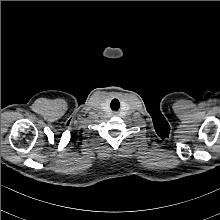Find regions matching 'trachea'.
<instances>
[{"mask_svg": "<svg viewBox=\"0 0 220 220\" xmlns=\"http://www.w3.org/2000/svg\"><path fill=\"white\" fill-rule=\"evenodd\" d=\"M120 108V103L117 99H113L111 102V109L117 111Z\"/></svg>", "mask_w": 220, "mask_h": 220, "instance_id": "3493384b", "label": "trachea"}]
</instances>
